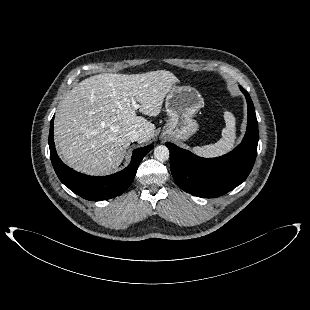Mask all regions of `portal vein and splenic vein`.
I'll return each instance as SVG.
<instances>
[{
    "label": "portal vein and splenic vein",
    "instance_id": "1",
    "mask_svg": "<svg viewBox=\"0 0 310 310\" xmlns=\"http://www.w3.org/2000/svg\"><path fill=\"white\" fill-rule=\"evenodd\" d=\"M132 107L136 110L139 108V105L136 103L135 100H132Z\"/></svg>",
    "mask_w": 310,
    "mask_h": 310
}]
</instances>
